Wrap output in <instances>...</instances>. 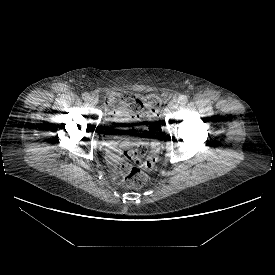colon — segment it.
Segmentation results:
<instances>
[{
	"instance_id": "1",
	"label": "colon",
	"mask_w": 275,
	"mask_h": 275,
	"mask_svg": "<svg viewBox=\"0 0 275 275\" xmlns=\"http://www.w3.org/2000/svg\"><path fill=\"white\" fill-rule=\"evenodd\" d=\"M160 104V98L156 95L137 98L133 101L134 109L150 122L149 130L151 132H156L158 130L159 123L157 121V116ZM147 151H149V153L145 156L144 160L140 159ZM132 153L133 156L138 159L136 165L126 173L124 181L128 187L140 188L147 180L146 171L152 169L158 159L159 144L154 142L149 147L146 142H142L132 151Z\"/></svg>"
}]
</instances>
